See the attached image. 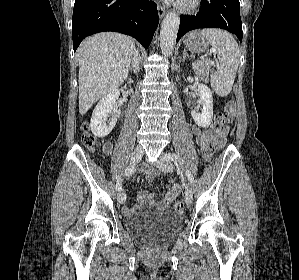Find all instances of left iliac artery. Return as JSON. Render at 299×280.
I'll use <instances>...</instances> for the list:
<instances>
[{"label": "left iliac artery", "instance_id": "1", "mask_svg": "<svg viewBox=\"0 0 299 280\" xmlns=\"http://www.w3.org/2000/svg\"><path fill=\"white\" fill-rule=\"evenodd\" d=\"M166 158L168 160H171V161H174V162H177L179 160L178 155H176L175 153L166 154ZM186 175H187L189 183L192 185L193 182H194V177H193L192 173L188 170V171H186Z\"/></svg>", "mask_w": 299, "mask_h": 280}]
</instances>
